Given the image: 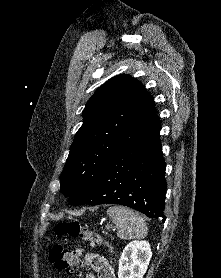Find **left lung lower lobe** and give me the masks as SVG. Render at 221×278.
Returning <instances> with one entry per match:
<instances>
[{
  "label": "left lung lower lobe",
  "instance_id": "left-lung-lower-lobe-1",
  "mask_svg": "<svg viewBox=\"0 0 221 278\" xmlns=\"http://www.w3.org/2000/svg\"><path fill=\"white\" fill-rule=\"evenodd\" d=\"M160 121L121 150L76 205L119 204L165 222Z\"/></svg>",
  "mask_w": 221,
  "mask_h": 278
}]
</instances>
